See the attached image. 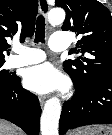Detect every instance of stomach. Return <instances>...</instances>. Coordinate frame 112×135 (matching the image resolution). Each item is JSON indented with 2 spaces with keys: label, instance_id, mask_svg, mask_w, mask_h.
I'll return each instance as SVG.
<instances>
[{
  "label": "stomach",
  "instance_id": "obj_1",
  "mask_svg": "<svg viewBox=\"0 0 112 135\" xmlns=\"http://www.w3.org/2000/svg\"><path fill=\"white\" fill-rule=\"evenodd\" d=\"M69 135H112V128L104 125H92L71 132Z\"/></svg>",
  "mask_w": 112,
  "mask_h": 135
}]
</instances>
